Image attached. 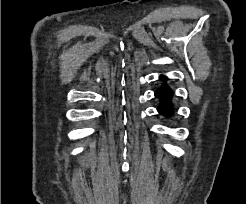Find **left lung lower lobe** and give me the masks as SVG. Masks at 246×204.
<instances>
[{
	"label": "left lung lower lobe",
	"instance_id": "obj_1",
	"mask_svg": "<svg viewBox=\"0 0 246 204\" xmlns=\"http://www.w3.org/2000/svg\"><path fill=\"white\" fill-rule=\"evenodd\" d=\"M155 96L162 100L161 105L158 107V111L163 115H171L173 113V107L171 105V89L164 85L156 91Z\"/></svg>",
	"mask_w": 246,
	"mask_h": 204
}]
</instances>
